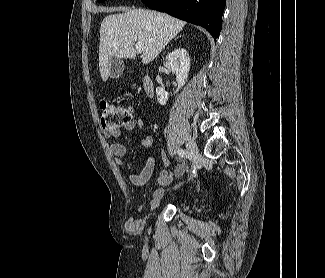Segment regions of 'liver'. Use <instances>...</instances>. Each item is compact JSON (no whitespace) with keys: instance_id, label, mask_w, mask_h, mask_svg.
<instances>
[{"instance_id":"obj_1","label":"liver","mask_w":325,"mask_h":278,"mask_svg":"<svg viewBox=\"0 0 325 278\" xmlns=\"http://www.w3.org/2000/svg\"><path fill=\"white\" fill-rule=\"evenodd\" d=\"M123 11L106 16L100 27L99 71L104 82L110 76V59H135V42H142V63L153 61L183 29L186 22L166 13L145 9L112 8Z\"/></svg>"}]
</instances>
